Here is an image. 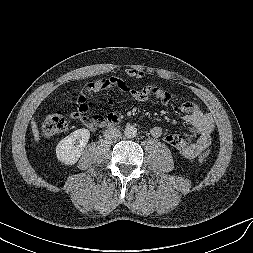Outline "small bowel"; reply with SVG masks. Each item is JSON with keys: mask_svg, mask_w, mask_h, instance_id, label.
I'll list each match as a JSON object with an SVG mask.
<instances>
[{"mask_svg": "<svg viewBox=\"0 0 253 253\" xmlns=\"http://www.w3.org/2000/svg\"><path fill=\"white\" fill-rule=\"evenodd\" d=\"M125 74L129 78H142L146 75L144 70L136 68L126 69ZM108 89L118 90L138 102H147L150 99H155L161 104H168L174 98L172 93L158 85L152 84L138 89L118 77L102 78L89 82L82 88L77 97L76 110L72 113L73 120L76 123L83 124L91 131L104 126L111 119L112 114H109L106 118L100 115L89 116L90 106L88 98L92 93ZM98 103L107 105L110 110H112L114 104L111 99H99ZM180 110L184 113V121L192 126L193 130L185 135H166L163 140L183 158L194 159L209 147L211 134L215 128L214 120L211 115L204 113L194 102H183L180 105ZM150 133L154 138H161L163 129L160 126H155Z\"/></svg>", "mask_w": 253, "mask_h": 253, "instance_id": "c3829d8e", "label": "small bowel"}]
</instances>
